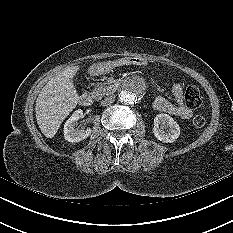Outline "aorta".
<instances>
[{"label": "aorta", "mask_w": 233, "mask_h": 233, "mask_svg": "<svg viewBox=\"0 0 233 233\" xmlns=\"http://www.w3.org/2000/svg\"><path fill=\"white\" fill-rule=\"evenodd\" d=\"M145 93L144 84L136 78L127 81L119 93V100L123 104H134L138 102Z\"/></svg>", "instance_id": "obj_1"}]
</instances>
